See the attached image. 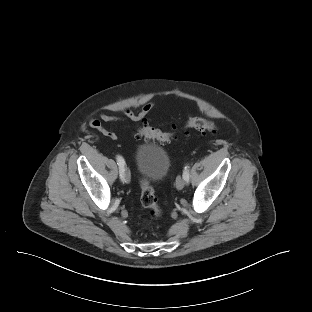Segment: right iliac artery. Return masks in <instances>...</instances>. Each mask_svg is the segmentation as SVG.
<instances>
[{
	"label": "right iliac artery",
	"instance_id": "right-iliac-artery-1",
	"mask_svg": "<svg viewBox=\"0 0 312 312\" xmlns=\"http://www.w3.org/2000/svg\"><path fill=\"white\" fill-rule=\"evenodd\" d=\"M116 159H117V164L119 165L120 176L121 178H123L125 161L120 155H117Z\"/></svg>",
	"mask_w": 312,
	"mask_h": 312
}]
</instances>
